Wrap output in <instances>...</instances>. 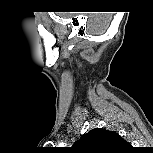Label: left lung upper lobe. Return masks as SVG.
<instances>
[{"mask_svg":"<svg viewBox=\"0 0 153 153\" xmlns=\"http://www.w3.org/2000/svg\"><path fill=\"white\" fill-rule=\"evenodd\" d=\"M128 146L116 132L95 128L82 135L72 148L80 153H117Z\"/></svg>","mask_w":153,"mask_h":153,"instance_id":"1","label":"left lung upper lobe"}]
</instances>
